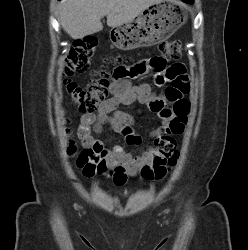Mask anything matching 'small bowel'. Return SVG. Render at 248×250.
<instances>
[{"label": "small bowel", "instance_id": "c3829d8e", "mask_svg": "<svg viewBox=\"0 0 248 250\" xmlns=\"http://www.w3.org/2000/svg\"><path fill=\"white\" fill-rule=\"evenodd\" d=\"M152 60H143L133 68L116 69L109 87L111 97L102 103L95 114L86 113L81 116L77 129L78 138L85 149H92L97 155V159L93 161L94 170L89 167H80L85 176L105 175L110 171L113 182L118 186L124 185L129 177L138 174L149 178L144 174L143 169L145 166L152 165L155 158L153 150H146L142 154L134 156L125 152L120 145L106 147L95 138V134L101 132L104 125H109L115 132L125 135L129 144L139 143L140 137L131 130L134 117L127 112L118 110L117 107L120 104L130 105L135 101L147 104L162 119L161 133L176 136L183 132L189 110V101L186 99V95L190 89L189 79L183 64H167L165 61L161 65L162 74L174 76L171 87L180 95L181 99L176 100L171 107L155 106L159 101L165 103L167 100L165 93L161 96H154L148 84L133 85L125 78L124 72H133L134 75H142L151 71L157 72ZM178 104H181V110L177 109Z\"/></svg>", "mask_w": 248, "mask_h": 250}]
</instances>
